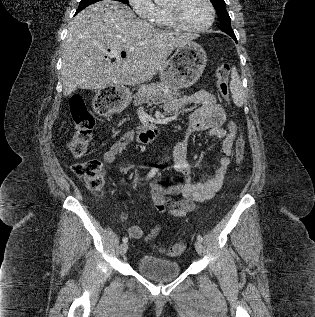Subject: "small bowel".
Segmentation results:
<instances>
[{
    "mask_svg": "<svg viewBox=\"0 0 315 317\" xmlns=\"http://www.w3.org/2000/svg\"><path fill=\"white\" fill-rule=\"evenodd\" d=\"M188 125L184 137L177 142L173 152V168L179 172L183 179L180 183L171 186H162L157 180L149 184L150 195L155 210L160 214L168 213L174 217H183L194 211L197 204L210 200L219 191L225 181L231 163L233 145L237 136V126L234 121L228 120L224 107L215 96L205 90L196 91L190 95L182 96L167 103L169 112L187 110ZM206 131L211 138L222 141L223 157L219 167L214 173L203 181H194V166L187 159V139L194 132ZM134 137L133 131L123 133L112 146L103 154V162L112 164L128 148ZM130 165L119 167L120 172L126 173ZM171 195H181L175 200ZM161 226L155 227L149 235L144 237L146 242L151 241L161 232ZM129 235L134 239L143 237L142 228L133 224L129 227Z\"/></svg>",
    "mask_w": 315,
    "mask_h": 317,
    "instance_id": "c3829d8e",
    "label": "small bowel"
}]
</instances>
